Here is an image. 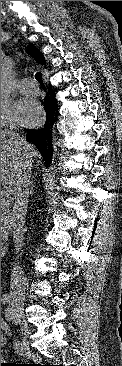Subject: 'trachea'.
Segmentation results:
<instances>
[{
	"label": "trachea",
	"instance_id": "3493384b",
	"mask_svg": "<svg viewBox=\"0 0 122 366\" xmlns=\"http://www.w3.org/2000/svg\"><path fill=\"white\" fill-rule=\"evenodd\" d=\"M35 79L38 81V83L42 86V87H46L44 82H43V78H42V74L40 72H37L35 74Z\"/></svg>",
	"mask_w": 122,
	"mask_h": 366
}]
</instances>
